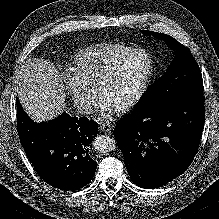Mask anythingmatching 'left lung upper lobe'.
Wrapping results in <instances>:
<instances>
[{
	"label": "left lung upper lobe",
	"instance_id": "left-lung-upper-lobe-1",
	"mask_svg": "<svg viewBox=\"0 0 219 219\" xmlns=\"http://www.w3.org/2000/svg\"><path fill=\"white\" fill-rule=\"evenodd\" d=\"M142 32L165 41L168 47L175 50V58L167 72L148 89L135 110L150 111L176 98L203 93L201 71L190 50L169 35L147 30Z\"/></svg>",
	"mask_w": 219,
	"mask_h": 219
}]
</instances>
